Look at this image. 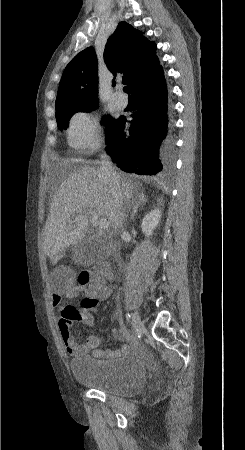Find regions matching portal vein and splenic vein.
<instances>
[{
    "label": "portal vein and splenic vein",
    "instance_id": "portal-vein-and-splenic-vein-1",
    "mask_svg": "<svg viewBox=\"0 0 245 450\" xmlns=\"http://www.w3.org/2000/svg\"><path fill=\"white\" fill-rule=\"evenodd\" d=\"M88 214L91 216L92 223L95 227H99L100 229H107L109 227V221L106 218L98 220L97 214L90 209L88 210ZM69 222L72 221L70 220Z\"/></svg>",
    "mask_w": 245,
    "mask_h": 450
}]
</instances>
